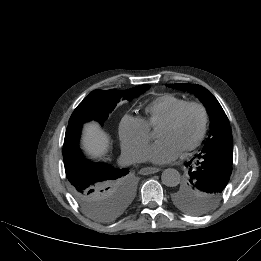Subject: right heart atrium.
I'll list each match as a JSON object with an SVG mask.
<instances>
[{"instance_id":"1","label":"right heart atrium","mask_w":261,"mask_h":261,"mask_svg":"<svg viewBox=\"0 0 261 261\" xmlns=\"http://www.w3.org/2000/svg\"><path fill=\"white\" fill-rule=\"evenodd\" d=\"M118 132L126 156L131 160H140L151 139L149 129L142 118L124 116L120 121Z\"/></svg>"}]
</instances>
